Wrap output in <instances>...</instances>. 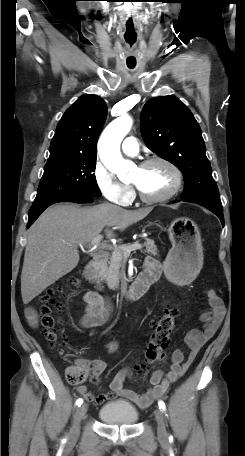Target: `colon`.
Instances as JSON below:
<instances>
[{
	"instance_id": "5ec220e1",
	"label": "colon",
	"mask_w": 245,
	"mask_h": 456,
	"mask_svg": "<svg viewBox=\"0 0 245 456\" xmlns=\"http://www.w3.org/2000/svg\"><path fill=\"white\" fill-rule=\"evenodd\" d=\"M69 282L75 283V279L71 277ZM59 293H61L59 288H50L41 297L42 325L45 328L46 339L51 344L64 343L57 330L58 315L62 311V303L56 297ZM177 315V307L172 306L152 321V333L145 351V363L138 367L139 370H143L146 365L154 364L163 358L164 351L170 342V334L174 328ZM88 375L89 369L79 362L70 366L66 371V378L73 385L83 383Z\"/></svg>"
}]
</instances>
